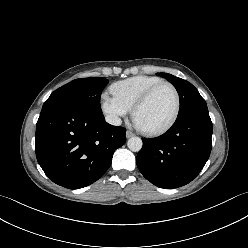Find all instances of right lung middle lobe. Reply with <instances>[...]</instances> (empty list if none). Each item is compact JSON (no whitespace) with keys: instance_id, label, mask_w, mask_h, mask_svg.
Listing matches in <instances>:
<instances>
[{"instance_id":"dd1d6c3e","label":"right lung middle lobe","mask_w":248,"mask_h":248,"mask_svg":"<svg viewBox=\"0 0 248 248\" xmlns=\"http://www.w3.org/2000/svg\"><path fill=\"white\" fill-rule=\"evenodd\" d=\"M107 83L108 80L101 77L75 79L55 90L42 108L56 104H74L102 113L100 97Z\"/></svg>"}]
</instances>
